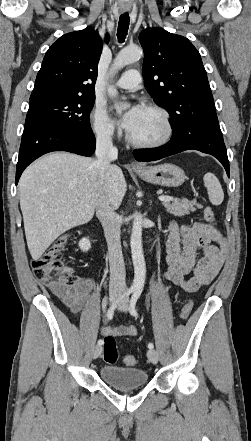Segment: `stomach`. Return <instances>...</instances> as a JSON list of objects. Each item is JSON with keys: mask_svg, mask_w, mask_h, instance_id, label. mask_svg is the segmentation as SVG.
<instances>
[{"mask_svg": "<svg viewBox=\"0 0 251 441\" xmlns=\"http://www.w3.org/2000/svg\"><path fill=\"white\" fill-rule=\"evenodd\" d=\"M134 172L146 182L167 187H178L186 179L185 172L170 163L145 167L142 170H134Z\"/></svg>", "mask_w": 251, "mask_h": 441, "instance_id": "1", "label": "stomach"}]
</instances>
